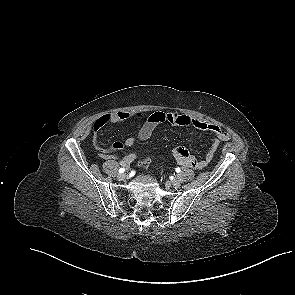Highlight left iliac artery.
Masks as SVG:
<instances>
[{"label": "left iliac artery", "mask_w": 295, "mask_h": 295, "mask_svg": "<svg viewBox=\"0 0 295 295\" xmlns=\"http://www.w3.org/2000/svg\"><path fill=\"white\" fill-rule=\"evenodd\" d=\"M175 171H176L177 173H179L181 170H180L179 167H177V168L175 169Z\"/></svg>", "instance_id": "left-iliac-artery-1"}]
</instances>
